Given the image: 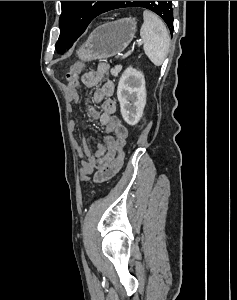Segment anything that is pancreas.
Masks as SVG:
<instances>
[{
  "label": "pancreas",
  "mask_w": 237,
  "mask_h": 300,
  "mask_svg": "<svg viewBox=\"0 0 237 300\" xmlns=\"http://www.w3.org/2000/svg\"><path fill=\"white\" fill-rule=\"evenodd\" d=\"M119 71H121V65H117V67H114V69H111V73L112 75H114V77H116L117 73H119Z\"/></svg>",
  "instance_id": "pancreas-1"
}]
</instances>
